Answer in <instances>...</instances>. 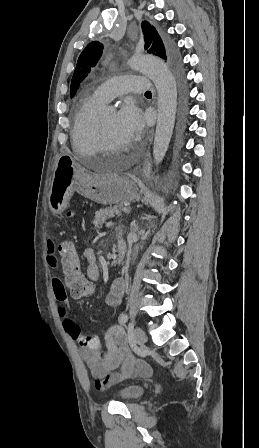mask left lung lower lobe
<instances>
[{"mask_svg":"<svg viewBox=\"0 0 259 448\" xmlns=\"http://www.w3.org/2000/svg\"><path fill=\"white\" fill-rule=\"evenodd\" d=\"M170 63L174 71L180 98L178 143L179 145H181L182 136L187 131V119L189 113V89L181 57L173 52V58Z\"/></svg>","mask_w":259,"mask_h":448,"instance_id":"left-lung-lower-lobe-1","label":"left lung lower lobe"}]
</instances>
